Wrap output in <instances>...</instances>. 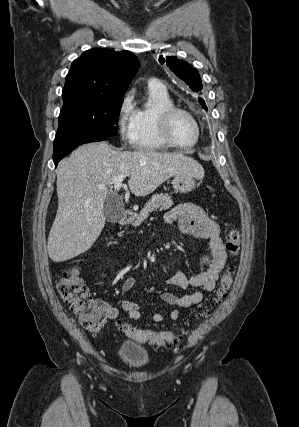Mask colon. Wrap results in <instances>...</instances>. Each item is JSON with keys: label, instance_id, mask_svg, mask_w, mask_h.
I'll return each instance as SVG.
<instances>
[{"label": "colon", "instance_id": "colon-1", "mask_svg": "<svg viewBox=\"0 0 299 427\" xmlns=\"http://www.w3.org/2000/svg\"><path fill=\"white\" fill-rule=\"evenodd\" d=\"M226 250L235 256L240 250V234L236 229H230L226 233ZM233 282V267L228 266L219 282L216 295L212 298L210 306H216L227 297ZM57 289L63 300L75 313L82 326L93 332H99L107 319L104 307L96 302L91 296L88 287L79 277L74 268L65 269L57 281ZM208 314V311L203 313ZM123 332L143 343H151L157 347H169L177 344L181 335L172 331L158 332L132 327L127 324L121 325Z\"/></svg>", "mask_w": 299, "mask_h": 427}]
</instances>
